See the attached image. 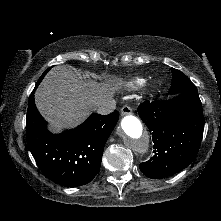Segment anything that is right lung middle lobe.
Returning <instances> with one entry per match:
<instances>
[{
	"mask_svg": "<svg viewBox=\"0 0 221 221\" xmlns=\"http://www.w3.org/2000/svg\"><path fill=\"white\" fill-rule=\"evenodd\" d=\"M49 69H50V68H48L43 74L45 75V74L48 72ZM43 74H42V75H43Z\"/></svg>",
	"mask_w": 221,
	"mask_h": 221,
	"instance_id": "1",
	"label": "right lung middle lobe"
}]
</instances>
